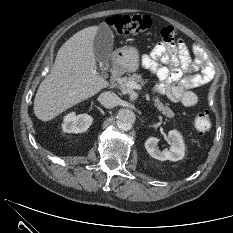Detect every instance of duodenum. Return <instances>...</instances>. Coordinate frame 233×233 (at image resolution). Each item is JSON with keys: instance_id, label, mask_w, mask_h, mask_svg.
<instances>
[{"instance_id": "410a0bca", "label": "duodenum", "mask_w": 233, "mask_h": 233, "mask_svg": "<svg viewBox=\"0 0 233 233\" xmlns=\"http://www.w3.org/2000/svg\"><path fill=\"white\" fill-rule=\"evenodd\" d=\"M117 78V71L116 70H113L112 73H111V82H115Z\"/></svg>"}]
</instances>
